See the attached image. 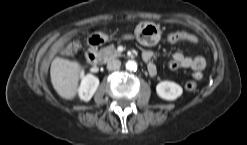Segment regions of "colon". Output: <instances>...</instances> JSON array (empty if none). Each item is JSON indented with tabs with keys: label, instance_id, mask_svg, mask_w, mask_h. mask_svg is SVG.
<instances>
[{
	"label": "colon",
	"instance_id": "1",
	"mask_svg": "<svg viewBox=\"0 0 247 145\" xmlns=\"http://www.w3.org/2000/svg\"><path fill=\"white\" fill-rule=\"evenodd\" d=\"M183 39V35L180 33V32H175V33H171L167 36V40L170 42V43H174V42H177V41H181ZM79 49V43L77 41H74L72 43L69 44L68 46V52L70 54H74L78 51ZM203 76L202 72H198L196 75H195V78L196 79H201ZM197 83L196 81H188L185 83V89L187 91H194L197 89Z\"/></svg>",
	"mask_w": 247,
	"mask_h": 145
}]
</instances>
